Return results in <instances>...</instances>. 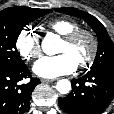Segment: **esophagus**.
<instances>
[{
  "instance_id": "obj_1",
  "label": "esophagus",
  "mask_w": 114,
  "mask_h": 114,
  "mask_svg": "<svg viewBox=\"0 0 114 114\" xmlns=\"http://www.w3.org/2000/svg\"><path fill=\"white\" fill-rule=\"evenodd\" d=\"M54 81L55 79H45V78L41 79L42 83H53Z\"/></svg>"
}]
</instances>
